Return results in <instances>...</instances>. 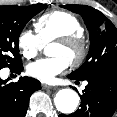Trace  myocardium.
I'll list each match as a JSON object with an SVG mask.
<instances>
[{"label":"myocardium","mask_w":117,"mask_h":117,"mask_svg":"<svg viewBox=\"0 0 117 117\" xmlns=\"http://www.w3.org/2000/svg\"><path fill=\"white\" fill-rule=\"evenodd\" d=\"M58 43L73 53L70 64L74 67L80 66L88 55V45L85 39L79 35H67L55 39Z\"/></svg>","instance_id":"myocardium-1"}]
</instances>
